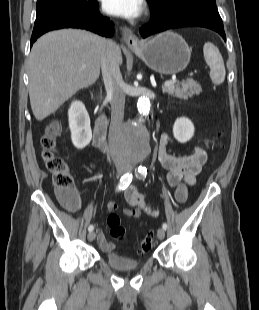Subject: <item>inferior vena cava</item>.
Returning a JSON list of instances; mask_svg holds the SVG:
<instances>
[{
	"instance_id": "inferior-vena-cava-1",
	"label": "inferior vena cava",
	"mask_w": 259,
	"mask_h": 310,
	"mask_svg": "<svg viewBox=\"0 0 259 310\" xmlns=\"http://www.w3.org/2000/svg\"><path fill=\"white\" fill-rule=\"evenodd\" d=\"M116 49L117 45L113 41H106V50L101 58V70L107 95L111 103L109 147L115 164H120L124 162V159L117 144V137L123 125L125 91L119 64L115 57Z\"/></svg>"
}]
</instances>
